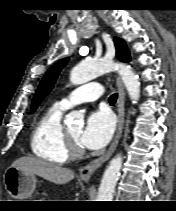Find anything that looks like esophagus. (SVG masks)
Wrapping results in <instances>:
<instances>
[{
  "label": "esophagus",
  "instance_id": "obj_1",
  "mask_svg": "<svg viewBox=\"0 0 176 211\" xmlns=\"http://www.w3.org/2000/svg\"><path fill=\"white\" fill-rule=\"evenodd\" d=\"M117 87H118V99H117L118 126L115 137L106 153H104L97 159L91 161L89 164H87L80 170V177L83 180H89L94 171L98 169L104 162H106L111 157L122 136L125 123V90L120 77H117Z\"/></svg>",
  "mask_w": 176,
  "mask_h": 211
}]
</instances>
